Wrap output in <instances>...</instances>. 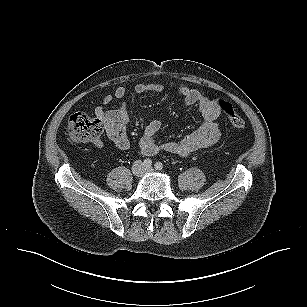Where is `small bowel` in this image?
Returning a JSON list of instances; mask_svg holds the SVG:
<instances>
[{"instance_id": "small-bowel-1", "label": "small bowel", "mask_w": 307, "mask_h": 307, "mask_svg": "<svg viewBox=\"0 0 307 307\" xmlns=\"http://www.w3.org/2000/svg\"><path fill=\"white\" fill-rule=\"evenodd\" d=\"M163 90V85L159 83H141L134 88V91L138 94L160 93ZM178 92L186 107L195 106L199 109L202 116L201 124L179 140L159 143L155 137L162 129V123L158 120L151 121L146 126L139 142V149L142 154L154 156L160 151H166L180 157H187L193 152L211 148L219 143L221 128L217 119L221 110L217 104L218 100L211 99L201 91L185 84L179 86ZM126 93V88L119 86L115 89L113 95H106L103 102L109 104L114 98H123ZM95 116L101 122L105 135L119 151H126L130 148L131 142L126 133V126L129 122V110L126 103L122 102L112 110L98 106L95 109ZM93 145L102 148L103 141L99 139Z\"/></svg>"}]
</instances>
